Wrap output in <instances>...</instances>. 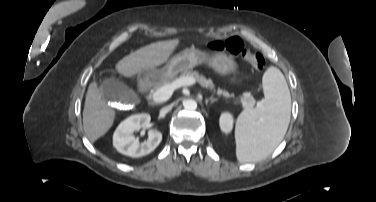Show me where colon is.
Wrapping results in <instances>:
<instances>
[{"label":"colon","instance_id":"obj_1","mask_svg":"<svg viewBox=\"0 0 376 202\" xmlns=\"http://www.w3.org/2000/svg\"><path fill=\"white\" fill-rule=\"evenodd\" d=\"M206 49L209 52H226L232 57H239L258 72H263L267 68L265 58L261 54L253 53L247 49L238 37H232L226 41L209 42L206 44Z\"/></svg>","mask_w":376,"mask_h":202}]
</instances>
